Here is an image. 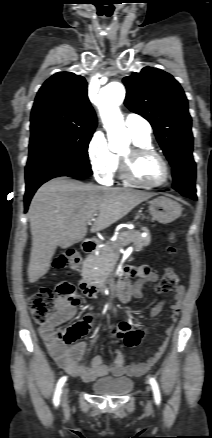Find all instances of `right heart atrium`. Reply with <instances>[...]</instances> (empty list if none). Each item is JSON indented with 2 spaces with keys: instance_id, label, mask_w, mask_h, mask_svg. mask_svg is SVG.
Masks as SVG:
<instances>
[{
  "instance_id": "1",
  "label": "right heart atrium",
  "mask_w": 212,
  "mask_h": 438,
  "mask_svg": "<svg viewBox=\"0 0 212 438\" xmlns=\"http://www.w3.org/2000/svg\"><path fill=\"white\" fill-rule=\"evenodd\" d=\"M87 158L94 177L108 183L115 171V155L110 151L107 140L101 131H96L87 145Z\"/></svg>"
}]
</instances>
